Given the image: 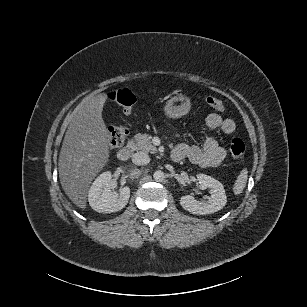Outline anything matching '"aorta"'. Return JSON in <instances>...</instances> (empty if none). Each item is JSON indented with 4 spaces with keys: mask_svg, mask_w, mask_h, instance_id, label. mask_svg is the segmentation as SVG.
I'll return each instance as SVG.
<instances>
[{
    "mask_svg": "<svg viewBox=\"0 0 307 307\" xmlns=\"http://www.w3.org/2000/svg\"><path fill=\"white\" fill-rule=\"evenodd\" d=\"M153 178L157 182H162L165 179V173L161 170H157L154 172Z\"/></svg>",
    "mask_w": 307,
    "mask_h": 307,
    "instance_id": "aorta-1",
    "label": "aorta"
}]
</instances>
